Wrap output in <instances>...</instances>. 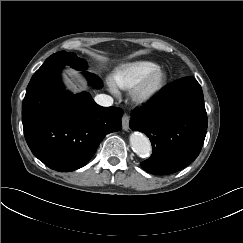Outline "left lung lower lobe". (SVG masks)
Segmentation results:
<instances>
[{"mask_svg": "<svg viewBox=\"0 0 243 243\" xmlns=\"http://www.w3.org/2000/svg\"><path fill=\"white\" fill-rule=\"evenodd\" d=\"M130 128L144 132L153 154L142 162L152 174L177 172L200 153L207 132L203 92L192 77L170 85L162 95L131 112Z\"/></svg>", "mask_w": 243, "mask_h": 243, "instance_id": "0a47b994", "label": "left lung lower lobe"}]
</instances>
